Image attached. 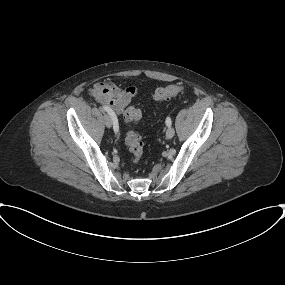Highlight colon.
<instances>
[{
    "label": "colon",
    "instance_id": "5ec220e1",
    "mask_svg": "<svg viewBox=\"0 0 285 285\" xmlns=\"http://www.w3.org/2000/svg\"><path fill=\"white\" fill-rule=\"evenodd\" d=\"M183 92L184 87L182 85L172 84L166 87L158 88L154 93V99L158 102H162ZM141 118V111L133 106L127 108L124 113V120L128 123L138 122L141 120ZM125 143L128 146L133 161L138 162L144 154V144L141 136L137 132L129 130L125 138Z\"/></svg>",
    "mask_w": 285,
    "mask_h": 285
}]
</instances>
